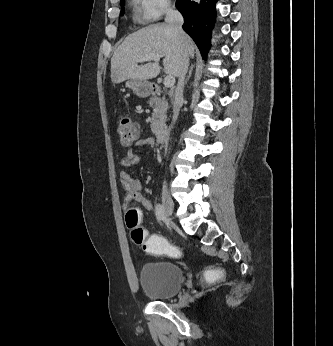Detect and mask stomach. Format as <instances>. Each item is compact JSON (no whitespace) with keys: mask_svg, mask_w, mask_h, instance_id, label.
Wrapping results in <instances>:
<instances>
[{"mask_svg":"<svg viewBox=\"0 0 333 346\" xmlns=\"http://www.w3.org/2000/svg\"><path fill=\"white\" fill-rule=\"evenodd\" d=\"M126 86L140 98L148 97L151 93L152 88L150 82L137 79H128L126 82Z\"/></svg>","mask_w":333,"mask_h":346,"instance_id":"1","label":"stomach"}]
</instances>
